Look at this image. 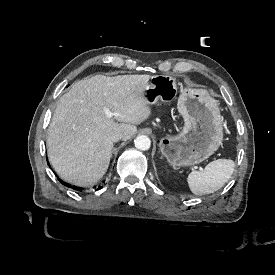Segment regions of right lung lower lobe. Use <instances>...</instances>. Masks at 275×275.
<instances>
[{
  "label": "right lung lower lobe",
  "mask_w": 275,
  "mask_h": 275,
  "mask_svg": "<svg viewBox=\"0 0 275 275\" xmlns=\"http://www.w3.org/2000/svg\"><path fill=\"white\" fill-rule=\"evenodd\" d=\"M60 182H61L63 185H65V186L72 187L70 184H68V183H66V182H63V181H61V180H60ZM72 188L75 189V190H77V191H82V188H80V187L73 186Z\"/></svg>",
  "instance_id": "1"
}]
</instances>
